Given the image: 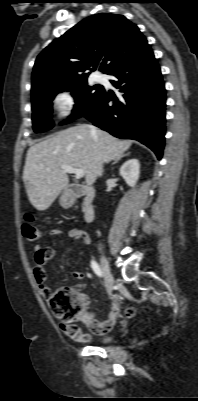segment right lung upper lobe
Returning <instances> with one entry per match:
<instances>
[{"mask_svg": "<svg viewBox=\"0 0 198 401\" xmlns=\"http://www.w3.org/2000/svg\"><path fill=\"white\" fill-rule=\"evenodd\" d=\"M147 45L138 27L123 15L100 13L85 18L38 55L32 73V99L87 81L97 65L109 74Z\"/></svg>", "mask_w": 198, "mask_h": 401, "instance_id": "obj_1", "label": "right lung upper lobe"}]
</instances>
